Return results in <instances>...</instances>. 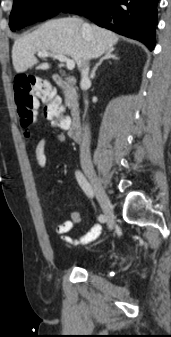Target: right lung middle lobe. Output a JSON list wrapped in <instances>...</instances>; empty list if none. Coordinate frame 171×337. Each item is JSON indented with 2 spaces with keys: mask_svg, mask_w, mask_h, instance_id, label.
Segmentation results:
<instances>
[{
  "mask_svg": "<svg viewBox=\"0 0 171 337\" xmlns=\"http://www.w3.org/2000/svg\"><path fill=\"white\" fill-rule=\"evenodd\" d=\"M76 0H14L9 26L12 31L58 14Z\"/></svg>",
  "mask_w": 171,
  "mask_h": 337,
  "instance_id": "dd1d6c3e",
  "label": "right lung middle lobe"
}]
</instances>
